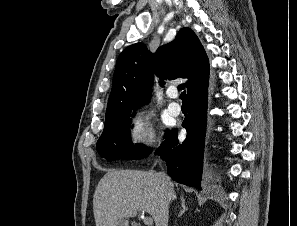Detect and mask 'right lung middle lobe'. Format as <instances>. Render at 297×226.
Segmentation results:
<instances>
[{"label":"right lung middle lobe","instance_id":"dd1d6c3e","mask_svg":"<svg viewBox=\"0 0 297 226\" xmlns=\"http://www.w3.org/2000/svg\"><path fill=\"white\" fill-rule=\"evenodd\" d=\"M131 110L113 109L106 112L105 127L96 149L98 153L113 161L117 159H142L147 157L151 148L133 145L130 140Z\"/></svg>","mask_w":297,"mask_h":226}]
</instances>
